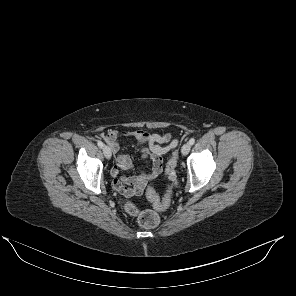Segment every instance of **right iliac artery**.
I'll return each mask as SVG.
<instances>
[{
  "label": "right iliac artery",
  "mask_w": 296,
  "mask_h": 296,
  "mask_svg": "<svg viewBox=\"0 0 296 296\" xmlns=\"http://www.w3.org/2000/svg\"><path fill=\"white\" fill-rule=\"evenodd\" d=\"M97 145L100 147V148H103L104 147V143L102 141H98L97 142Z\"/></svg>",
  "instance_id": "82829eb1"
}]
</instances>
